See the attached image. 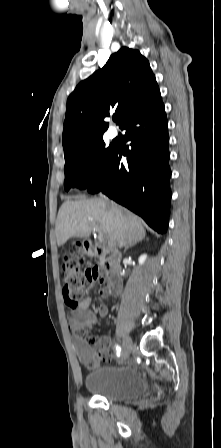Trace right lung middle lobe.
<instances>
[{
    "label": "right lung middle lobe",
    "instance_id": "obj_1",
    "mask_svg": "<svg viewBox=\"0 0 221 448\" xmlns=\"http://www.w3.org/2000/svg\"><path fill=\"white\" fill-rule=\"evenodd\" d=\"M114 149V145L106 147L103 139L99 138L77 154L65 158V190L71 187L87 188L102 174Z\"/></svg>",
    "mask_w": 221,
    "mask_h": 448
}]
</instances>
